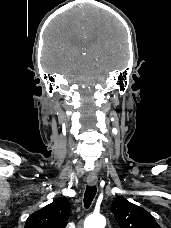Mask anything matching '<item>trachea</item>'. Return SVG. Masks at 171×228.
Wrapping results in <instances>:
<instances>
[{
    "mask_svg": "<svg viewBox=\"0 0 171 228\" xmlns=\"http://www.w3.org/2000/svg\"><path fill=\"white\" fill-rule=\"evenodd\" d=\"M96 192H97L96 186H93V187L87 186L86 187V191L84 194V206L86 208H88L91 205V203L96 195Z\"/></svg>",
    "mask_w": 171,
    "mask_h": 228,
    "instance_id": "3493384b",
    "label": "trachea"
}]
</instances>
